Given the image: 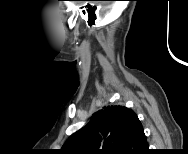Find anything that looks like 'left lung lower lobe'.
Here are the masks:
<instances>
[{
    "label": "left lung lower lobe",
    "instance_id": "0a47b994",
    "mask_svg": "<svg viewBox=\"0 0 188 154\" xmlns=\"http://www.w3.org/2000/svg\"><path fill=\"white\" fill-rule=\"evenodd\" d=\"M148 150L146 136L140 120L134 114L131 118L128 139L124 145L125 154H143Z\"/></svg>",
    "mask_w": 188,
    "mask_h": 154
}]
</instances>
